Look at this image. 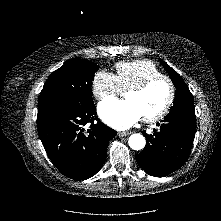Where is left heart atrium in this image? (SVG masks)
I'll list each match as a JSON object with an SVG mask.
<instances>
[{"instance_id": "39dd6f15", "label": "left heart atrium", "mask_w": 221, "mask_h": 221, "mask_svg": "<svg viewBox=\"0 0 221 221\" xmlns=\"http://www.w3.org/2000/svg\"><path fill=\"white\" fill-rule=\"evenodd\" d=\"M100 118L109 126L125 130L134 125L141 114L136 105L129 100L107 99L98 106Z\"/></svg>"}]
</instances>
